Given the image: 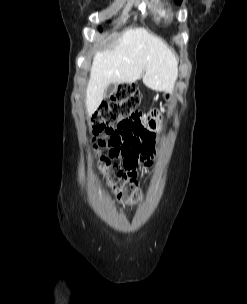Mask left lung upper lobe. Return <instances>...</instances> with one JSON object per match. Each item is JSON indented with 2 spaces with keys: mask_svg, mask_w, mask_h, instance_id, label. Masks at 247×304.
Returning <instances> with one entry per match:
<instances>
[{
  "mask_svg": "<svg viewBox=\"0 0 247 304\" xmlns=\"http://www.w3.org/2000/svg\"><path fill=\"white\" fill-rule=\"evenodd\" d=\"M177 4H181L182 0H175Z\"/></svg>",
  "mask_w": 247,
  "mask_h": 304,
  "instance_id": "1",
  "label": "left lung upper lobe"
}]
</instances>
